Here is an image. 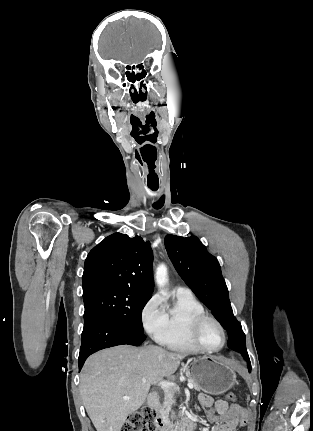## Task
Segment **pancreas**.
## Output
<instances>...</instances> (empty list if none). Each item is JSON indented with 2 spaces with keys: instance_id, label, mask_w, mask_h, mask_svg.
<instances>
[{
  "instance_id": "cf45deb5",
  "label": "pancreas",
  "mask_w": 313,
  "mask_h": 431,
  "mask_svg": "<svg viewBox=\"0 0 313 431\" xmlns=\"http://www.w3.org/2000/svg\"><path fill=\"white\" fill-rule=\"evenodd\" d=\"M186 376L188 377V382L193 383L194 389L197 391H200L201 387L195 381V379L190 375L188 370L186 372ZM174 394H175V391L171 389H167L164 391V401L162 405L159 406V409H160V412H162L166 416L169 415L172 405L175 404Z\"/></svg>"
}]
</instances>
